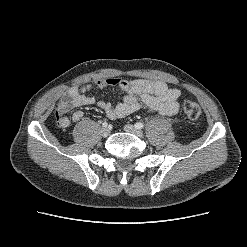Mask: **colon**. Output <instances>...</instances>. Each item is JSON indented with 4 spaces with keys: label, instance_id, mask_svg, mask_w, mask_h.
<instances>
[{
    "label": "colon",
    "instance_id": "colon-1",
    "mask_svg": "<svg viewBox=\"0 0 247 247\" xmlns=\"http://www.w3.org/2000/svg\"><path fill=\"white\" fill-rule=\"evenodd\" d=\"M183 112L190 120H196L201 115V108L197 103L188 100L183 104Z\"/></svg>",
    "mask_w": 247,
    "mask_h": 247
}]
</instances>
